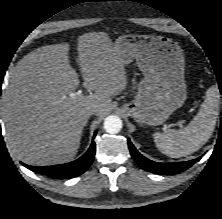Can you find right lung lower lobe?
<instances>
[{
	"label": "right lung lower lobe",
	"mask_w": 222,
	"mask_h": 219,
	"mask_svg": "<svg viewBox=\"0 0 222 219\" xmlns=\"http://www.w3.org/2000/svg\"><path fill=\"white\" fill-rule=\"evenodd\" d=\"M94 136H96V133L94 134ZM95 152H96V145L95 142L92 141V144L88 149V151L79 159L73 162L61 165L46 166V167H35L24 163H22V165H24L25 167L34 172L42 173L52 178L70 179L79 176L88 169V167L91 165L92 161L94 160Z\"/></svg>",
	"instance_id": "98d812e1"
}]
</instances>
